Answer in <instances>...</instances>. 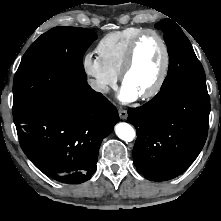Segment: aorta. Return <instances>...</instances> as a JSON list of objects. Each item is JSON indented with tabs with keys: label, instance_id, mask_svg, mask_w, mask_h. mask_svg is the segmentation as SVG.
<instances>
[{
	"label": "aorta",
	"instance_id": "1",
	"mask_svg": "<svg viewBox=\"0 0 221 221\" xmlns=\"http://www.w3.org/2000/svg\"><path fill=\"white\" fill-rule=\"evenodd\" d=\"M115 133L121 140L127 142H131L135 137V130L130 124L125 122L116 124Z\"/></svg>",
	"mask_w": 221,
	"mask_h": 221
}]
</instances>
